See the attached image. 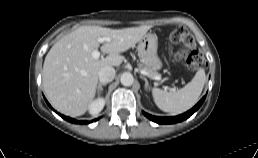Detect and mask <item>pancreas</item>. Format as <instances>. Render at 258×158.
I'll return each instance as SVG.
<instances>
[{
	"label": "pancreas",
	"instance_id": "1",
	"mask_svg": "<svg viewBox=\"0 0 258 158\" xmlns=\"http://www.w3.org/2000/svg\"><path fill=\"white\" fill-rule=\"evenodd\" d=\"M140 70L141 71H146V72H148L150 75H152V76H159L160 74H158V72H156V71H153V70H151V69H149V68H147V67H145V66H141L140 65Z\"/></svg>",
	"mask_w": 258,
	"mask_h": 158
}]
</instances>
